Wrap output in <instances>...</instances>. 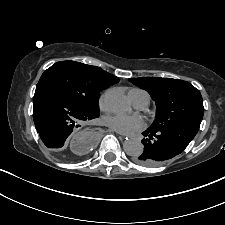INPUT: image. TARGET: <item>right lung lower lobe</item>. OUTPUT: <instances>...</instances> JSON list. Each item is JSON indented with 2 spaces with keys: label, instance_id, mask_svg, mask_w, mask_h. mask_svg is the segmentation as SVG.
<instances>
[{
  "label": "right lung lower lobe",
  "instance_id": "right-lung-lower-lobe-1",
  "mask_svg": "<svg viewBox=\"0 0 225 225\" xmlns=\"http://www.w3.org/2000/svg\"><path fill=\"white\" fill-rule=\"evenodd\" d=\"M94 118L97 117L83 111L53 87L37 84L33 98V120L41 140L48 148L62 150L67 138L79 124ZM88 144L91 146L94 141Z\"/></svg>",
  "mask_w": 225,
  "mask_h": 225
}]
</instances>
